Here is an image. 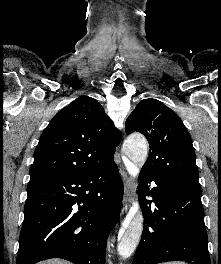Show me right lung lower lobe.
<instances>
[{
  "label": "right lung lower lobe",
  "mask_w": 221,
  "mask_h": 264,
  "mask_svg": "<svg viewBox=\"0 0 221 264\" xmlns=\"http://www.w3.org/2000/svg\"><path fill=\"white\" fill-rule=\"evenodd\" d=\"M123 183L114 159L85 173L48 178L27 187L17 264L63 258L105 264Z\"/></svg>",
  "instance_id": "obj_1"
}]
</instances>
